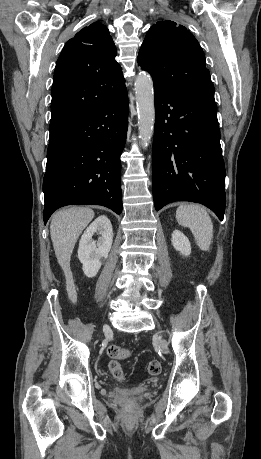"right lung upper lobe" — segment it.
<instances>
[{"label": "right lung upper lobe", "instance_id": "1", "mask_svg": "<svg viewBox=\"0 0 261 459\" xmlns=\"http://www.w3.org/2000/svg\"><path fill=\"white\" fill-rule=\"evenodd\" d=\"M116 54L108 29L100 22L83 28L65 44L54 72L50 126L70 125L126 88Z\"/></svg>", "mask_w": 261, "mask_h": 459}]
</instances>
